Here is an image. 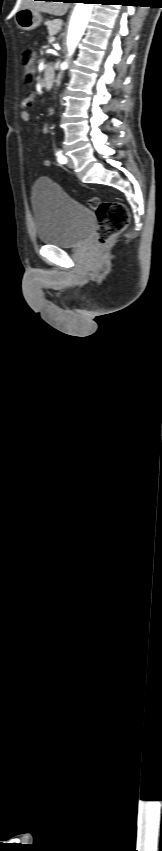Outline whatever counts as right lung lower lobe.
Returning <instances> with one entry per match:
<instances>
[{
  "label": "right lung lower lobe",
  "instance_id": "1",
  "mask_svg": "<svg viewBox=\"0 0 162 851\" xmlns=\"http://www.w3.org/2000/svg\"><path fill=\"white\" fill-rule=\"evenodd\" d=\"M46 1H56V0H46ZM64 2H74V0H63Z\"/></svg>",
  "mask_w": 162,
  "mask_h": 851
}]
</instances>
